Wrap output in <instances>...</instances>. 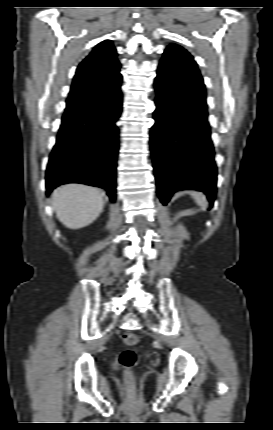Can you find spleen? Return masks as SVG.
I'll list each match as a JSON object with an SVG mask.
<instances>
[{
  "instance_id": "obj_1",
  "label": "spleen",
  "mask_w": 273,
  "mask_h": 430,
  "mask_svg": "<svg viewBox=\"0 0 273 430\" xmlns=\"http://www.w3.org/2000/svg\"><path fill=\"white\" fill-rule=\"evenodd\" d=\"M191 195L193 196L195 202L203 209H207V201L205 196L202 193L199 192H191Z\"/></svg>"
}]
</instances>
